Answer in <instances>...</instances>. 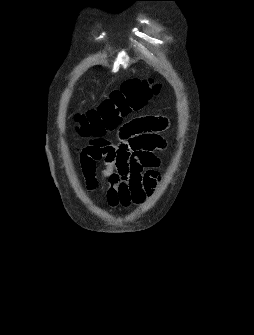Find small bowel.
I'll return each mask as SVG.
<instances>
[{
  "mask_svg": "<svg viewBox=\"0 0 254 335\" xmlns=\"http://www.w3.org/2000/svg\"><path fill=\"white\" fill-rule=\"evenodd\" d=\"M168 124V119L156 117L129 120L118 125V144L78 148L87 189L101 191L111 207L142 204L159 180L161 160L157 152L167 148L160 131ZM98 161L104 165L99 173Z\"/></svg>",
  "mask_w": 254,
  "mask_h": 335,
  "instance_id": "1",
  "label": "small bowel"
}]
</instances>
